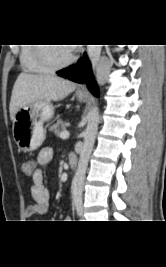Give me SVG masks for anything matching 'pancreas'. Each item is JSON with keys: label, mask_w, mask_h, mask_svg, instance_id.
Listing matches in <instances>:
<instances>
[{"label": "pancreas", "mask_w": 166, "mask_h": 267, "mask_svg": "<svg viewBox=\"0 0 166 267\" xmlns=\"http://www.w3.org/2000/svg\"><path fill=\"white\" fill-rule=\"evenodd\" d=\"M66 128V124L62 120H58L56 124L50 127V131L54 132L55 135H60V131Z\"/></svg>", "instance_id": "obj_1"}]
</instances>
